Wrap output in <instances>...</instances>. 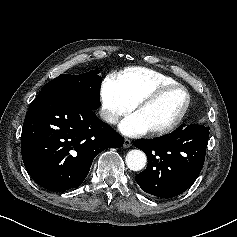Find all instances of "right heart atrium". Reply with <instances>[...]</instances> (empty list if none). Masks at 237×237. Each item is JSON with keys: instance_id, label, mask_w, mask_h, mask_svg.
Here are the masks:
<instances>
[{"instance_id": "d8ad5b80", "label": "right heart atrium", "mask_w": 237, "mask_h": 237, "mask_svg": "<svg viewBox=\"0 0 237 237\" xmlns=\"http://www.w3.org/2000/svg\"><path fill=\"white\" fill-rule=\"evenodd\" d=\"M100 98L102 118L108 124H116L120 117L134 108V104L123 94L113 75L102 81Z\"/></svg>"}]
</instances>
